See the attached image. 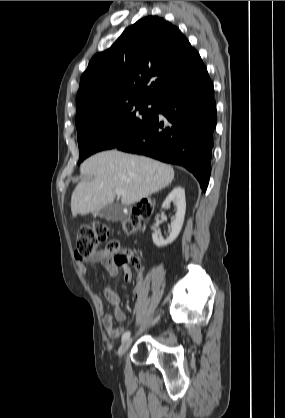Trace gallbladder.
I'll use <instances>...</instances> for the list:
<instances>
[{"instance_id": "gallbladder-1", "label": "gallbladder", "mask_w": 285, "mask_h": 418, "mask_svg": "<svg viewBox=\"0 0 285 418\" xmlns=\"http://www.w3.org/2000/svg\"><path fill=\"white\" fill-rule=\"evenodd\" d=\"M123 208L122 204L112 203L95 211L93 214L94 216H100L106 220L117 221L124 217Z\"/></svg>"}]
</instances>
